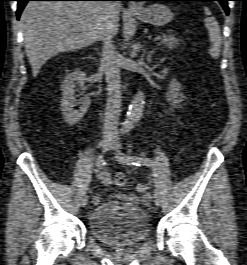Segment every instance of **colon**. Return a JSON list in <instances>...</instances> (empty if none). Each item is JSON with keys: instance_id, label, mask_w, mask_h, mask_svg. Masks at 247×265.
Wrapping results in <instances>:
<instances>
[{"instance_id": "1", "label": "colon", "mask_w": 247, "mask_h": 265, "mask_svg": "<svg viewBox=\"0 0 247 265\" xmlns=\"http://www.w3.org/2000/svg\"><path fill=\"white\" fill-rule=\"evenodd\" d=\"M114 182L117 186H124L127 182V178L123 173L118 172L114 175Z\"/></svg>"}]
</instances>
